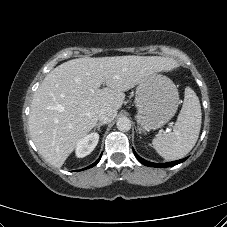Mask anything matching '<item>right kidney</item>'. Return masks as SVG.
<instances>
[{
  "label": "right kidney",
  "instance_id": "obj_1",
  "mask_svg": "<svg viewBox=\"0 0 227 227\" xmlns=\"http://www.w3.org/2000/svg\"><path fill=\"white\" fill-rule=\"evenodd\" d=\"M99 141V135L97 133H90L83 137L76 146V156L83 158L89 155L96 147Z\"/></svg>",
  "mask_w": 227,
  "mask_h": 227
}]
</instances>
